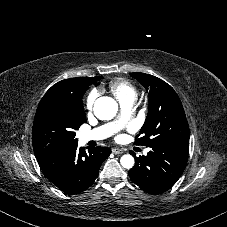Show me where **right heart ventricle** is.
<instances>
[{
  "mask_svg": "<svg viewBox=\"0 0 227 227\" xmlns=\"http://www.w3.org/2000/svg\"><path fill=\"white\" fill-rule=\"evenodd\" d=\"M107 89L116 97L121 105L128 101L134 102L137 96L134 85L123 78H116L110 81Z\"/></svg>",
  "mask_w": 227,
  "mask_h": 227,
  "instance_id": "1",
  "label": "right heart ventricle"
}]
</instances>
